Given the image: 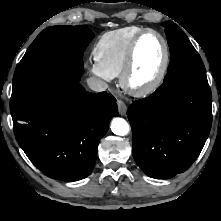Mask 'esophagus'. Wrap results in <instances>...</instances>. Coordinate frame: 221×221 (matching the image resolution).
Listing matches in <instances>:
<instances>
[{
  "label": "esophagus",
  "mask_w": 221,
  "mask_h": 221,
  "mask_svg": "<svg viewBox=\"0 0 221 221\" xmlns=\"http://www.w3.org/2000/svg\"><path fill=\"white\" fill-rule=\"evenodd\" d=\"M118 110L121 115H125L127 111V106L122 100H117Z\"/></svg>",
  "instance_id": "obj_1"
}]
</instances>
